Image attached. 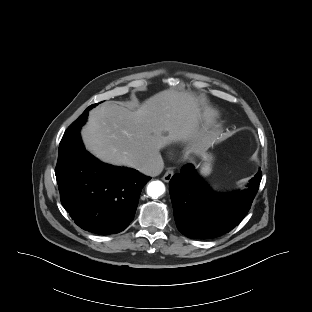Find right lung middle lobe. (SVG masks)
<instances>
[{"mask_svg": "<svg viewBox=\"0 0 312 312\" xmlns=\"http://www.w3.org/2000/svg\"><path fill=\"white\" fill-rule=\"evenodd\" d=\"M97 104H93L89 106L83 114H81L77 120H75L72 125L66 130L59 146V154L63 153L67 150V148L71 145V143L77 139L80 135V128L81 126L86 122V119L88 117V111L95 107Z\"/></svg>", "mask_w": 312, "mask_h": 312, "instance_id": "right-lung-middle-lobe-1", "label": "right lung middle lobe"}]
</instances>
